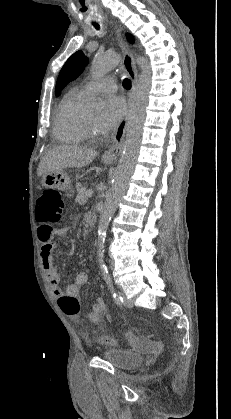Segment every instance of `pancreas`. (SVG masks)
Returning <instances> with one entry per match:
<instances>
[{
	"label": "pancreas",
	"instance_id": "1",
	"mask_svg": "<svg viewBox=\"0 0 231 419\" xmlns=\"http://www.w3.org/2000/svg\"><path fill=\"white\" fill-rule=\"evenodd\" d=\"M76 189H77V197H76V202L79 205H84L87 202V196H86V192L88 191L87 187H83L80 183L76 184Z\"/></svg>",
	"mask_w": 231,
	"mask_h": 419
}]
</instances>
